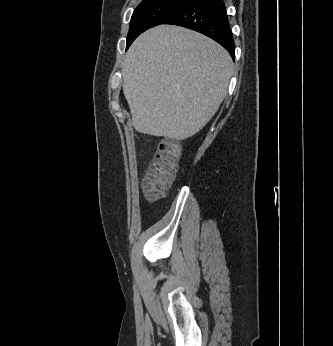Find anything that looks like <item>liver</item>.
Here are the masks:
<instances>
[{"mask_svg":"<svg viewBox=\"0 0 333 346\" xmlns=\"http://www.w3.org/2000/svg\"><path fill=\"white\" fill-rule=\"evenodd\" d=\"M122 73L135 130L184 140L219 109L233 61L221 45L200 33L160 25L133 42Z\"/></svg>","mask_w":333,"mask_h":346,"instance_id":"1","label":"liver"}]
</instances>
